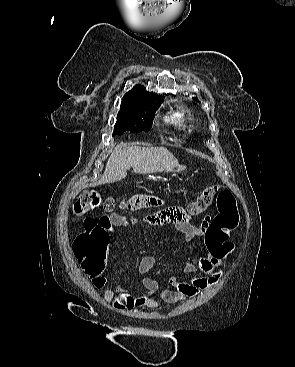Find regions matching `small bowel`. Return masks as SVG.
I'll use <instances>...</instances> for the list:
<instances>
[{"label":"small bowel","mask_w":295,"mask_h":367,"mask_svg":"<svg viewBox=\"0 0 295 367\" xmlns=\"http://www.w3.org/2000/svg\"><path fill=\"white\" fill-rule=\"evenodd\" d=\"M159 198L153 196H140L132 198L126 203V209L138 210L149 206H155V200ZM186 208H160L159 212L144 216L140 219H131V223L139 222L141 224L157 227L169 226L175 223L176 229L185 234L187 242L193 244L200 240L205 247L203 256H194L189 253L186 262L181 268V274L189 277L188 281H179L173 278L171 288H162L157 280L147 276L155 267L156 260L151 256L141 259L138 265V272L142 275L141 283L145 294L132 296L119 286H108L107 278L102 274L92 277V283L97 289H105L103 298L105 302L113 304L118 311L131 310L138 307L158 308L156 297L159 296L164 302L175 304L187 301L196 297L201 290L214 287L221 277L224 269V257L216 254L206 243V235L211 224L210 217H206L201 225H193L189 219ZM129 221L118 214L103 215L100 220V226L108 232H112L116 227H124ZM203 271L209 274V277H193L196 271Z\"/></svg>","instance_id":"obj_1"}]
</instances>
